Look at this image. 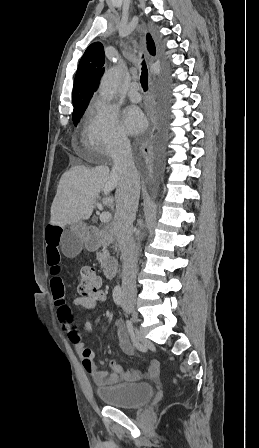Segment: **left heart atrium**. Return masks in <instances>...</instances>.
<instances>
[{
    "mask_svg": "<svg viewBox=\"0 0 259 448\" xmlns=\"http://www.w3.org/2000/svg\"><path fill=\"white\" fill-rule=\"evenodd\" d=\"M122 121L125 129L130 134H137L141 132L146 125L145 118L137 107H127L122 115Z\"/></svg>",
    "mask_w": 259,
    "mask_h": 448,
    "instance_id": "1",
    "label": "left heart atrium"
}]
</instances>
